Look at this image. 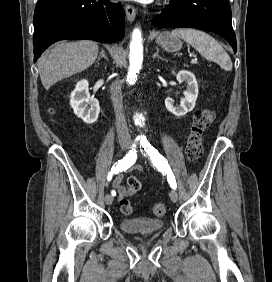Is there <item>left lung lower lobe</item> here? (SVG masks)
Masks as SVG:
<instances>
[{
	"instance_id": "1",
	"label": "left lung lower lobe",
	"mask_w": 272,
	"mask_h": 282,
	"mask_svg": "<svg viewBox=\"0 0 272 282\" xmlns=\"http://www.w3.org/2000/svg\"><path fill=\"white\" fill-rule=\"evenodd\" d=\"M151 24L161 28L192 27L219 34L237 51L228 0H171Z\"/></svg>"
}]
</instances>
